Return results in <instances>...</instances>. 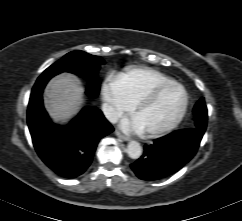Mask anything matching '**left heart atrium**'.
Segmentation results:
<instances>
[{
    "instance_id": "1",
    "label": "left heart atrium",
    "mask_w": 242,
    "mask_h": 221,
    "mask_svg": "<svg viewBox=\"0 0 242 221\" xmlns=\"http://www.w3.org/2000/svg\"><path fill=\"white\" fill-rule=\"evenodd\" d=\"M120 126L125 131H133L136 133H141L144 131L141 124L135 117L123 119Z\"/></svg>"
}]
</instances>
